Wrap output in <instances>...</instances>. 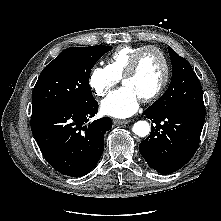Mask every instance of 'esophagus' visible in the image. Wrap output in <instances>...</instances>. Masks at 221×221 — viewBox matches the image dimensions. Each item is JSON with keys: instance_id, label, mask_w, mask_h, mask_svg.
Listing matches in <instances>:
<instances>
[{"instance_id": "1", "label": "esophagus", "mask_w": 221, "mask_h": 221, "mask_svg": "<svg viewBox=\"0 0 221 221\" xmlns=\"http://www.w3.org/2000/svg\"><path fill=\"white\" fill-rule=\"evenodd\" d=\"M129 122H130L129 120H119V119H114V120H113V124H114L115 126L127 124V123H129Z\"/></svg>"}]
</instances>
